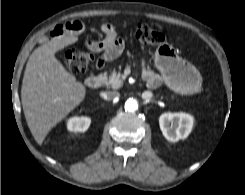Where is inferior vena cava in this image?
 Returning a JSON list of instances; mask_svg holds the SVG:
<instances>
[{
	"mask_svg": "<svg viewBox=\"0 0 245 195\" xmlns=\"http://www.w3.org/2000/svg\"><path fill=\"white\" fill-rule=\"evenodd\" d=\"M100 96L105 100H113L115 98H118L120 94L117 91H107V92H101Z\"/></svg>",
	"mask_w": 245,
	"mask_h": 195,
	"instance_id": "inferior-vena-cava-1",
	"label": "inferior vena cava"
}]
</instances>
